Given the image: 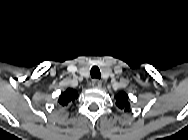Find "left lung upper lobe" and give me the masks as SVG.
Returning <instances> with one entry per match:
<instances>
[{
    "mask_svg": "<svg viewBox=\"0 0 188 140\" xmlns=\"http://www.w3.org/2000/svg\"><path fill=\"white\" fill-rule=\"evenodd\" d=\"M116 105L123 109L124 111H128L130 109V103L128 102V96L125 92H121L116 96Z\"/></svg>",
    "mask_w": 188,
    "mask_h": 140,
    "instance_id": "left-lung-upper-lobe-1",
    "label": "left lung upper lobe"
}]
</instances>
